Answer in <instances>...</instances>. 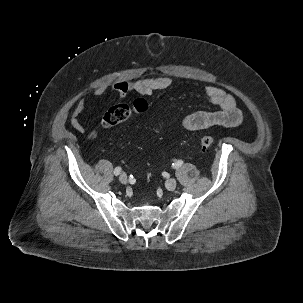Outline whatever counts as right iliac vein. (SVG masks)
I'll use <instances>...</instances> for the list:
<instances>
[{
	"label": "right iliac vein",
	"mask_w": 303,
	"mask_h": 303,
	"mask_svg": "<svg viewBox=\"0 0 303 303\" xmlns=\"http://www.w3.org/2000/svg\"><path fill=\"white\" fill-rule=\"evenodd\" d=\"M119 181L122 183V184H126L128 182V177L125 173H121L120 176H119Z\"/></svg>",
	"instance_id": "obj_1"
}]
</instances>
